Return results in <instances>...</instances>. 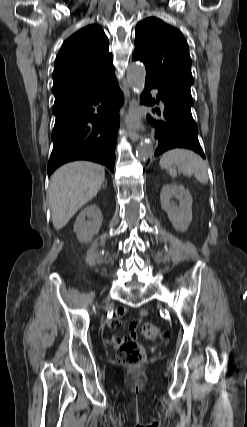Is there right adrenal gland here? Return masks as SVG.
<instances>
[{"label": "right adrenal gland", "mask_w": 247, "mask_h": 427, "mask_svg": "<svg viewBox=\"0 0 247 427\" xmlns=\"http://www.w3.org/2000/svg\"><path fill=\"white\" fill-rule=\"evenodd\" d=\"M102 187H103V188L105 187V184H104V183L102 184Z\"/></svg>", "instance_id": "2a0ac1e0"}]
</instances>
